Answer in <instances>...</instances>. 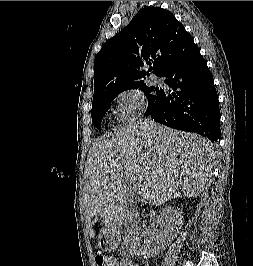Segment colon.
Here are the masks:
<instances>
[{
  "label": "colon",
  "instance_id": "5ec220e1",
  "mask_svg": "<svg viewBox=\"0 0 253 266\" xmlns=\"http://www.w3.org/2000/svg\"><path fill=\"white\" fill-rule=\"evenodd\" d=\"M96 266H117V260L102 252H98L95 256Z\"/></svg>",
  "mask_w": 253,
  "mask_h": 266
}]
</instances>
